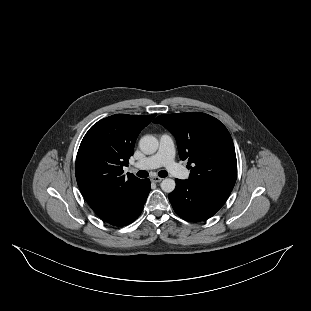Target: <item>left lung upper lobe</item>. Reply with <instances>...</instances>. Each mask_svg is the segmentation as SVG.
<instances>
[{
    "instance_id": "5c2ea615",
    "label": "left lung upper lobe",
    "mask_w": 311,
    "mask_h": 311,
    "mask_svg": "<svg viewBox=\"0 0 311 311\" xmlns=\"http://www.w3.org/2000/svg\"><path fill=\"white\" fill-rule=\"evenodd\" d=\"M155 123L176 138L179 156L191 169L189 181L232 191L237 178L234 144L227 128L204 113L164 114Z\"/></svg>"
}]
</instances>
